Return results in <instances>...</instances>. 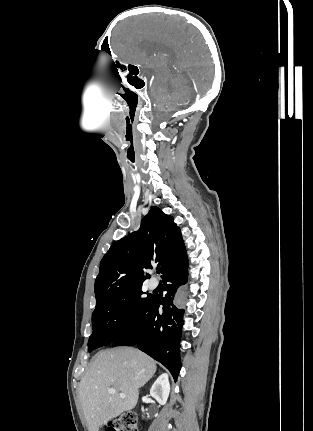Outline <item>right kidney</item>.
<instances>
[{
	"mask_svg": "<svg viewBox=\"0 0 313 431\" xmlns=\"http://www.w3.org/2000/svg\"><path fill=\"white\" fill-rule=\"evenodd\" d=\"M170 393L169 378L166 373L161 374L150 389V395L161 405H165ZM144 412V408H142Z\"/></svg>",
	"mask_w": 313,
	"mask_h": 431,
	"instance_id": "ca27d5eb",
	"label": "right kidney"
}]
</instances>
